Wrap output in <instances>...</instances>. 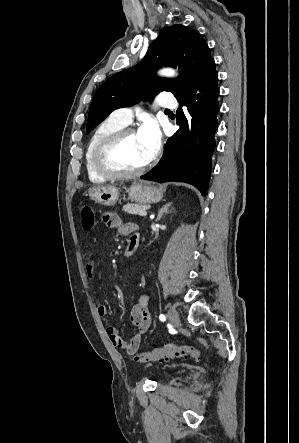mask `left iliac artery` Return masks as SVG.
<instances>
[{
	"label": "left iliac artery",
	"instance_id": "left-iliac-artery-1",
	"mask_svg": "<svg viewBox=\"0 0 299 443\" xmlns=\"http://www.w3.org/2000/svg\"><path fill=\"white\" fill-rule=\"evenodd\" d=\"M159 319H160L161 321H165V320H166V317H165V315L161 314V315L159 316Z\"/></svg>",
	"mask_w": 299,
	"mask_h": 443
}]
</instances>
